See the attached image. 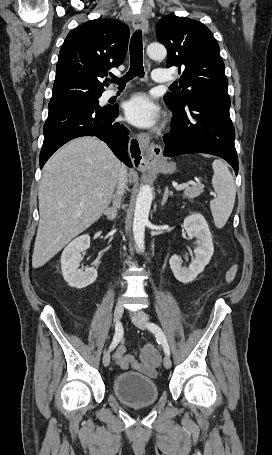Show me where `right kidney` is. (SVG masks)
Here are the masks:
<instances>
[{
    "label": "right kidney",
    "mask_w": 272,
    "mask_h": 455,
    "mask_svg": "<svg viewBox=\"0 0 272 455\" xmlns=\"http://www.w3.org/2000/svg\"><path fill=\"white\" fill-rule=\"evenodd\" d=\"M89 235H82L74 239L66 246L61 255V268L65 281L74 288H85L92 284L97 278V270L86 268L79 269L81 252L89 248Z\"/></svg>",
    "instance_id": "obj_1"
}]
</instances>
